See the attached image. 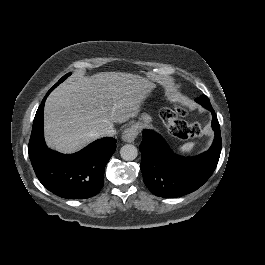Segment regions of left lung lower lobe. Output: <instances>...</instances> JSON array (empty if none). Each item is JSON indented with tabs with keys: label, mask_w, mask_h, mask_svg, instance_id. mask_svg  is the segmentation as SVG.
Instances as JSON below:
<instances>
[{
	"label": "left lung lower lobe",
	"mask_w": 265,
	"mask_h": 265,
	"mask_svg": "<svg viewBox=\"0 0 265 265\" xmlns=\"http://www.w3.org/2000/svg\"><path fill=\"white\" fill-rule=\"evenodd\" d=\"M196 102L213 116L215 138L210 149L196 157L174 154L164 139L151 130L143 131L139 147L142 153L141 171L147 188L156 196L171 198L191 193L201 187L215 170L221 152L220 126L207 96Z\"/></svg>",
	"instance_id": "0a47b994"
}]
</instances>
